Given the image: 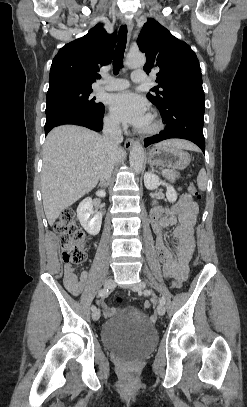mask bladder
Instances as JSON below:
<instances>
[{
    "label": "bladder",
    "mask_w": 247,
    "mask_h": 407,
    "mask_svg": "<svg viewBox=\"0 0 247 407\" xmlns=\"http://www.w3.org/2000/svg\"><path fill=\"white\" fill-rule=\"evenodd\" d=\"M101 338L112 353L128 360H138L156 346L158 334L144 312L127 306L116 310L104 322Z\"/></svg>",
    "instance_id": "31cf9c89"
}]
</instances>
